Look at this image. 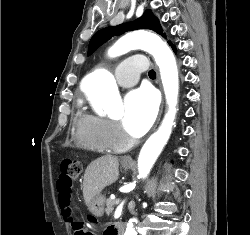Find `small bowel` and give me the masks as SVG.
Masks as SVG:
<instances>
[{
  "instance_id": "obj_1",
  "label": "small bowel",
  "mask_w": 250,
  "mask_h": 235,
  "mask_svg": "<svg viewBox=\"0 0 250 235\" xmlns=\"http://www.w3.org/2000/svg\"><path fill=\"white\" fill-rule=\"evenodd\" d=\"M57 203L63 218L66 220L70 215L71 191L68 192L58 188Z\"/></svg>"
}]
</instances>
